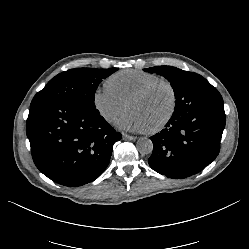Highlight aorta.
<instances>
[{"mask_svg": "<svg viewBox=\"0 0 249 249\" xmlns=\"http://www.w3.org/2000/svg\"><path fill=\"white\" fill-rule=\"evenodd\" d=\"M137 150L142 155H147L152 153L153 151V143L152 141L147 137H141L137 140L136 144Z\"/></svg>", "mask_w": 249, "mask_h": 249, "instance_id": "obj_1", "label": "aorta"}]
</instances>
